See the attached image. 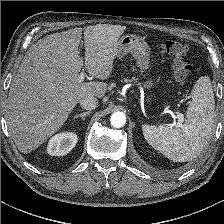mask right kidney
I'll return each mask as SVG.
<instances>
[{
    "mask_svg": "<svg viewBox=\"0 0 224 224\" xmlns=\"http://www.w3.org/2000/svg\"><path fill=\"white\" fill-rule=\"evenodd\" d=\"M77 140V135L73 132L56 134L49 140L47 152L52 156L66 155L75 147Z\"/></svg>",
    "mask_w": 224,
    "mask_h": 224,
    "instance_id": "right-kidney-1",
    "label": "right kidney"
}]
</instances>
